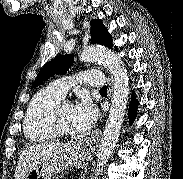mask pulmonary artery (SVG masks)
Instances as JSON below:
<instances>
[{
  "mask_svg": "<svg viewBox=\"0 0 183 179\" xmlns=\"http://www.w3.org/2000/svg\"><path fill=\"white\" fill-rule=\"evenodd\" d=\"M76 78L70 76L62 77L51 82L49 87L63 97L76 81L92 87H102L105 83L102 73L96 70L80 72Z\"/></svg>",
  "mask_w": 183,
  "mask_h": 179,
  "instance_id": "1",
  "label": "pulmonary artery"
}]
</instances>
